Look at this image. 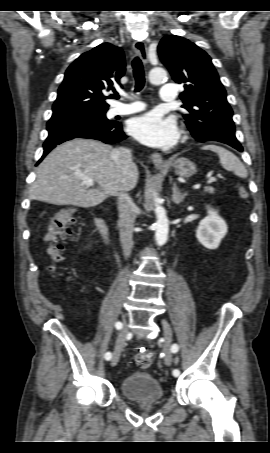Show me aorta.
Here are the masks:
<instances>
[{"label": "aorta", "instance_id": "aorta-1", "mask_svg": "<svg viewBox=\"0 0 270 453\" xmlns=\"http://www.w3.org/2000/svg\"><path fill=\"white\" fill-rule=\"evenodd\" d=\"M167 77V72L161 68L156 67L151 69L149 72V80L153 84L162 83ZM155 214H156V223H155V239L156 243L159 246H162L166 243L169 233V221L166 216L165 209L160 205V200L158 197H155Z\"/></svg>", "mask_w": 270, "mask_h": 453}]
</instances>
